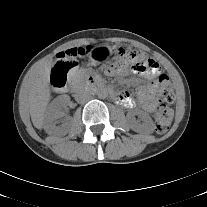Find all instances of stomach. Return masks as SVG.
<instances>
[{"instance_id": "1", "label": "stomach", "mask_w": 207, "mask_h": 207, "mask_svg": "<svg viewBox=\"0 0 207 207\" xmlns=\"http://www.w3.org/2000/svg\"><path fill=\"white\" fill-rule=\"evenodd\" d=\"M107 54H109V49L104 51L98 50L95 52L94 57L95 59L102 60Z\"/></svg>"}]
</instances>
